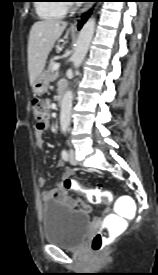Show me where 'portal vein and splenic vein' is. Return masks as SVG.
<instances>
[{
    "label": "portal vein and splenic vein",
    "instance_id": "obj_1",
    "mask_svg": "<svg viewBox=\"0 0 158 275\" xmlns=\"http://www.w3.org/2000/svg\"><path fill=\"white\" fill-rule=\"evenodd\" d=\"M59 68H60V64H58V63L53 66V70H57Z\"/></svg>",
    "mask_w": 158,
    "mask_h": 275
}]
</instances>
